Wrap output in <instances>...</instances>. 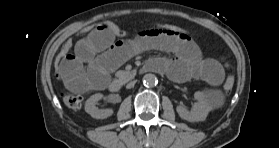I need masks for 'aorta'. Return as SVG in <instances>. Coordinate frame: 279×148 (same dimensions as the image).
<instances>
[{
  "label": "aorta",
  "instance_id": "1",
  "mask_svg": "<svg viewBox=\"0 0 279 148\" xmlns=\"http://www.w3.org/2000/svg\"><path fill=\"white\" fill-rule=\"evenodd\" d=\"M158 83V79L156 77V75L152 74V73H148L145 74L143 77V84L146 87H154L156 86Z\"/></svg>",
  "mask_w": 279,
  "mask_h": 148
}]
</instances>
